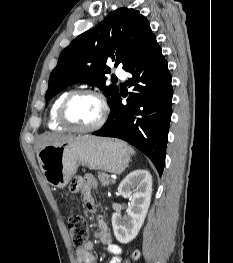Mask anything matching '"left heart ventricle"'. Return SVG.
<instances>
[{
	"mask_svg": "<svg viewBox=\"0 0 233 263\" xmlns=\"http://www.w3.org/2000/svg\"><path fill=\"white\" fill-rule=\"evenodd\" d=\"M101 115L99 101L91 96H82L74 99L67 108L68 119L79 127L94 125Z\"/></svg>",
	"mask_w": 233,
	"mask_h": 263,
	"instance_id": "obj_1",
	"label": "left heart ventricle"
}]
</instances>
